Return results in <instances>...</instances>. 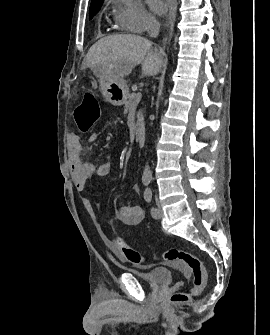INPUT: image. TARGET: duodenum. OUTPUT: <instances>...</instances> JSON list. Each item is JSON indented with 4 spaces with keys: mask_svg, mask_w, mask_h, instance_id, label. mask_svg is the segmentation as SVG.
<instances>
[{
    "mask_svg": "<svg viewBox=\"0 0 270 335\" xmlns=\"http://www.w3.org/2000/svg\"><path fill=\"white\" fill-rule=\"evenodd\" d=\"M136 141L139 144V146H141V147H143L145 145L146 135H145V132L143 130H139L136 133Z\"/></svg>",
    "mask_w": 270,
    "mask_h": 335,
    "instance_id": "duodenum-1",
    "label": "duodenum"
}]
</instances>
